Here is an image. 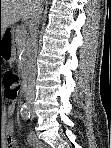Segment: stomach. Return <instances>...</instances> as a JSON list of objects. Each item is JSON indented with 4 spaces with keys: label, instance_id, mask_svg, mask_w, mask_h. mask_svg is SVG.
<instances>
[{
    "label": "stomach",
    "instance_id": "stomach-1",
    "mask_svg": "<svg viewBox=\"0 0 111 148\" xmlns=\"http://www.w3.org/2000/svg\"><path fill=\"white\" fill-rule=\"evenodd\" d=\"M15 56L16 49L13 41L0 46V60L7 63H12L15 60Z\"/></svg>",
    "mask_w": 111,
    "mask_h": 148
}]
</instances>
